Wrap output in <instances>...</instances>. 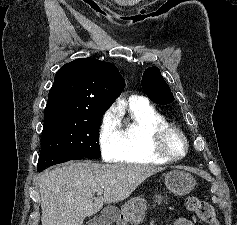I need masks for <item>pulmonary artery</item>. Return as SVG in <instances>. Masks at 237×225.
<instances>
[{
    "label": "pulmonary artery",
    "instance_id": "1",
    "mask_svg": "<svg viewBox=\"0 0 237 225\" xmlns=\"http://www.w3.org/2000/svg\"><path fill=\"white\" fill-rule=\"evenodd\" d=\"M138 99H140L139 96H137V95H132V96H130V98H129V102H134V101H137Z\"/></svg>",
    "mask_w": 237,
    "mask_h": 225
}]
</instances>
